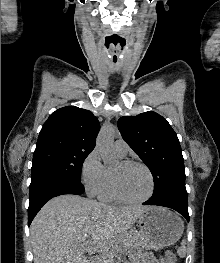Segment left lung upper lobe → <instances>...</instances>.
Instances as JSON below:
<instances>
[{
	"label": "left lung upper lobe",
	"instance_id": "obj_1",
	"mask_svg": "<svg viewBox=\"0 0 220 263\" xmlns=\"http://www.w3.org/2000/svg\"><path fill=\"white\" fill-rule=\"evenodd\" d=\"M123 139L150 169L154 178L151 199L187 203L185 170L178 137L159 114L148 111L118 120Z\"/></svg>",
	"mask_w": 220,
	"mask_h": 263
}]
</instances>
